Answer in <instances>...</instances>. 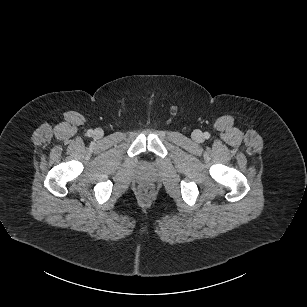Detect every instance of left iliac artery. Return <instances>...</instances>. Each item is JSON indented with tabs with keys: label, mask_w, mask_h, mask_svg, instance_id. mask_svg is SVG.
I'll use <instances>...</instances> for the list:
<instances>
[{
	"label": "left iliac artery",
	"mask_w": 307,
	"mask_h": 307,
	"mask_svg": "<svg viewBox=\"0 0 307 307\" xmlns=\"http://www.w3.org/2000/svg\"><path fill=\"white\" fill-rule=\"evenodd\" d=\"M209 137H210V134H209L208 132H205V133H204V138H205V139H208Z\"/></svg>",
	"instance_id": "44dca946"
}]
</instances>
